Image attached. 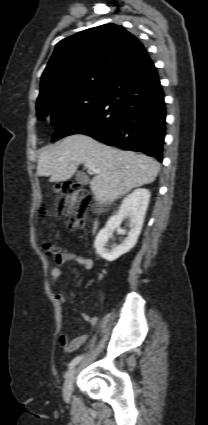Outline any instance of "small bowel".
<instances>
[{
	"instance_id": "obj_1",
	"label": "small bowel",
	"mask_w": 208,
	"mask_h": 425,
	"mask_svg": "<svg viewBox=\"0 0 208 425\" xmlns=\"http://www.w3.org/2000/svg\"><path fill=\"white\" fill-rule=\"evenodd\" d=\"M57 262L59 264H64L67 262H76L82 265L85 269L90 270L93 268V260L87 257L79 256L75 253L65 251L59 255L57 258ZM51 279L54 283H56L61 277V269L59 267L52 268L50 272ZM55 298L59 304L63 305L66 301L65 297L61 293H55ZM83 318L95 324L98 321V318L92 316L88 313L83 314ZM87 339V335H80L76 338L71 339L66 333H62L59 337V342L65 352H73L81 347Z\"/></svg>"
}]
</instances>
